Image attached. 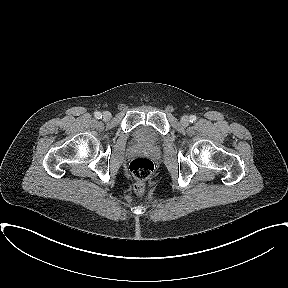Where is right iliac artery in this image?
<instances>
[{
  "label": "right iliac artery",
  "instance_id": "82829eb1",
  "mask_svg": "<svg viewBox=\"0 0 288 288\" xmlns=\"http://www.w3.org/2000/svg\"><path fill=\"white\" fill-rule=\"evenodd\" d=\"M95 117H96L97 119H100V118H102V114H101L100 112H96V113H95Z\"/></svg>",
  "mask_w": 288,
  "mask_h": 288
}]
</instances>
